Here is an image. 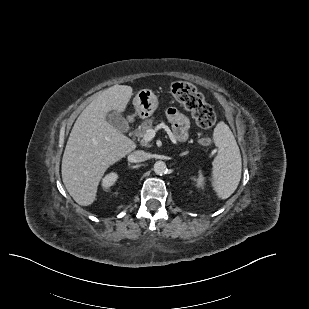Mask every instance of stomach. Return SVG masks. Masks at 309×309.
<instances>
[{
    "label": "stomach",
    "mask_w": 309,
    "mask_h": 309,
    "mask_svg": "<svg viewBox=\"0 0 309 309\" xmlns=\"http://www.w3.org/2000/svg\"><path fill=\"white\" fill-rule=\"evenodd\" d=\"M136 114L146 119L153 115L158 107L157 96L150 89L140 90L133 99Z\"/></svg>",
    "instance_id": "0dacf381"
}]
</instances>
